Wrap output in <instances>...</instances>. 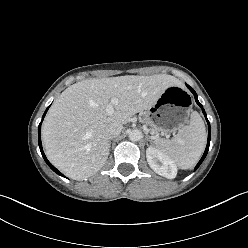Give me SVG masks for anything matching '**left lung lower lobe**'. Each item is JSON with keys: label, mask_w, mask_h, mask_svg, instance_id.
<instances>
[{"label": "left lung lower lobe", "mask_w": 248, "mask_h": 248, "mask_svg": "<svg viewBox=\"0 0 248 248\" xmlns=\"http://www.w3.org/2000/svg\"><path fill=\"white\" fill-rule=\"evenodd\" d=\"M187 87H188V88L190 89V91L193 93V95H194V97H195V101H196L197 104L201 107L202 112H203V114H204V116H205V118H206V121H207L208 125H209L207 146H206L205 152H204V154H203L201 160L198 162V164H197L196 167H195V170H196V169L200 166V164L203 162V160L205 159V157H206V155H207V153H208L209 144H210V123H209V121H208V119H207V115H206V113H205V110L203 109V106L201 105V103H200V102L198 101V99H197V94H196V92H195L189 85H187Z\"/></svg>", "instance_id": "1"}]
</instances>
